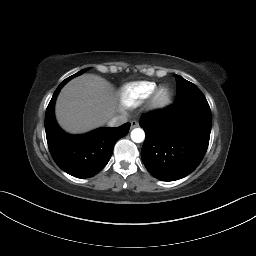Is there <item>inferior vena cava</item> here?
Instances as JSON below:
<instances>
[{
  "label": "inferior vena cava",
  "instance_id": "1",
  "mask_svg": "<svg viewBox=\"0 0 256 256\" xmlns=\"http://www.w3.org/2000/svg\"><path fill=\"white\" fill-rule=\"evenodd\" d=\"M127 122V117L125 115H118L113 117L108 122L109 127H117Z\"/></svg>",
  "mask_w": 256,
  "mask_h": 256
}]
</instances>
